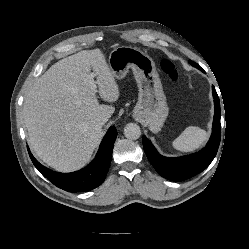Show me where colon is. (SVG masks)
I'll return each instance as SVG.
<instances>
[{"mask_svg": "<svg viewBox=\"0 0 249 249\" xmlns=\"http://www.w3.org/2000/svg\"><path fill=\"white\" fill-rule=\"evenodd\" d=\"M161 68L164 71V73H166L172 81L178 82L183 79L182 71L171 60L164 59L161 62Z\"/></svg>", "mask_w": 249, "mask_h": 249, "instance_id": "5ec220e1", "label": "colon"}]
</instances>
